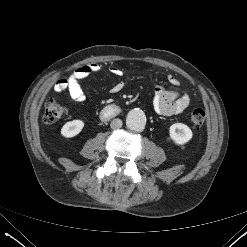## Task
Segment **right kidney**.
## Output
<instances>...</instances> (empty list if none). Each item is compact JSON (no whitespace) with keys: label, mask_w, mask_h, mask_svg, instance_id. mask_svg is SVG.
<instances>
[{"label":"right kidney","mask_w":247,"mask_h":247,"mask_svg":"<svg viewBox=\"0 0 247 247\" xmlns=\"http://www.w3.org/2000/svg\"><path fill=\"white\" fill-rule=\"evenodd\" d=\"M84 127V122L81 120H73L65 123L61 128V135L66 138H72L78 135Z\"/></svg>","instance_id":"right-kidney-1"}]
</instances>
